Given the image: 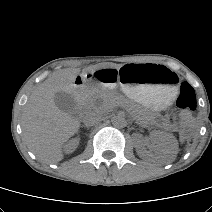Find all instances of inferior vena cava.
<instances>
[{"mask_svg":"<svg viewBox=\"0 0 212 212\" xmlns=\"http://www.w3.org/2000/svg\"><path fill=\"white\" fill-rule=\"evenodd\" d=\"M103 120L102 115L97 110H91L83 117V123L86 126H93Z\"/></svg>","mask_w":212,"mask_h":212,"instance_id":"1","label":"inferior vena cava"}]
</instances>
